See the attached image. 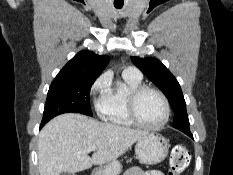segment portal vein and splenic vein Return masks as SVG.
<instances>
[{
	"label": "portal vein and splenic vein",
	"mask_w": 233,
	"mask_h": 175,
	"mask_svg": "<svg viewBox=\"0 0 233 175\" xmlns=\"http://www.w3.org/2000/svg\"><path fill=\"white\" fill-rule=\"evenodd\" d=\"M96 150V147L95 146H91L87 149V152H90V151H95Z\"/></svg>",
	"instance_id": "portal-vein-and-splenic-vein-1"
}]
</instances>
